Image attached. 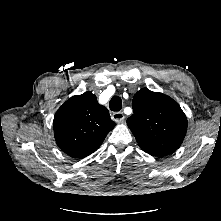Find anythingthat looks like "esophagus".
<instances>
[{"mask_svg": "<svg viewBox=\"0 0 221 221\" xmlns=\"http://www.w3.org/2000/svg\"><path fill=\"white\" fill-rule=\"evenodd\" d=\"M112 120L119 123L125 119V115L123 112H114L111 116Z\"/></svg>", "mask_w": 221, "mask_h": 221, "instance_id": "esophagus-1", "label": "esophagus"}]
</instances>
